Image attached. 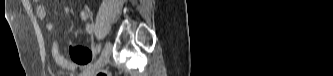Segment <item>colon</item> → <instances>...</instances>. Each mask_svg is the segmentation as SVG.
<instances>
[{"label": "colon", "mask_w": 333, "mask_h": 76, "mask_svg": "<svg viewBox=\"0 0 333 76\" xmlns=\"http://www.w3.org/2000/svg\"><path fill=\"white\" fill-rule=\"evenodd\" d=\"M98 75L99 76H108L109 74L106 71H102Z\"/></svg>", "instance_id": "5ec220e1"}]
</instances>
